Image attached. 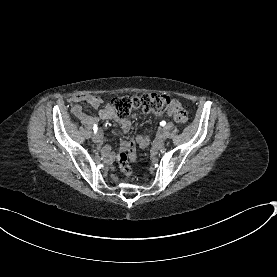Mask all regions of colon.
I'll use <instances>...</instances> for the list:
<instances>
[{
	"label": "colon",
	"instance_id": "obj_1",
	"mask_svg": "<svg viewBox=\"0 0 277 277\" xmlns=\"http://www.w3.org/2000/svg\"><path fill=\"white\" fill-rule=\"evenodd\" d=\"M87 103H96L98 97L96 94H87L85 97ZM114 111L120 118H126L132 111H141L145 114L162 115L166 112L171 104L167 95L158 93H144L131 96H114L111 99ZM173 115L176 122L186 124L188 116L186 111L181 107L173 109ZM120 170L125 175L131 174V167L128 160H134L133 145L127 143L125 149L119 151L116 156Z\"/></svg>",
	"mask_w": 277,
	"mask_h": 277
}]
</instances>
